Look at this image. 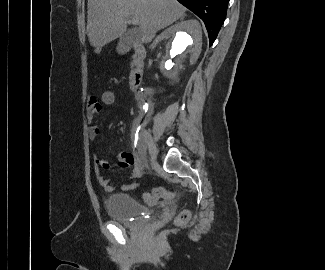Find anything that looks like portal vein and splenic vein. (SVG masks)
Returning a JSON list of instances; mask_svg holds the SVG:
<instances>
[{
  "instance_id": "18ae733b",
  "label": "portal vein and splenic vein",
  "mask_w": 325,
  "mask_h": 270,
  "mask_svg": "<svg viewBox=\"0 0 325 270\" xmlns=\"http://www.w3.org/2000/svg\"><path fill=\"white\" fill-rule=\"evenodd\" d=\"M131 22H132L134 25H138V24H139V20H138L137 17H132Z\"/></svg>"
}]
</instances>
